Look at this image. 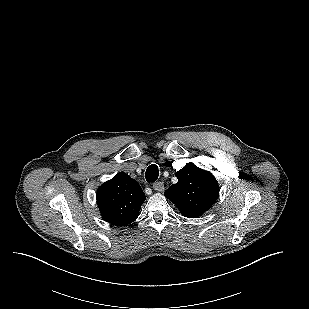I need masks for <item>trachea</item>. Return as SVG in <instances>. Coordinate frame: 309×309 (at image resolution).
I'll use <instances>...</instances> for the list:
<instances>
[{
    "instance_id": "1",
    "label": "trachea",
    "mask_w": 309,
    "mask_h": 309,
    "mask_svg": "<svg viewBox=\"0 0 309 309\" xmlns=\"http://www.w3.org/2000/svg\"><path fill=\"white\" fill-rule=\"evenodd\" d=\"M145 176L148 182H155L159 176L158 167L154 164L150 165L146 170Z\"/></svg>"
}]
</instances>
